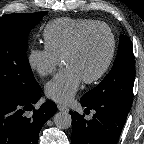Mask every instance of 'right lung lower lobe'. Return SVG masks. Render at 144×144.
<instances>
[{
  "label": "right lung lower lobe",
  "instance_id": "1",
  "mask_svg": "<svg viewBox=\"0 0 144 144\" xmlns=\"http://www.w3.org/2000/svg\"><path fill=\"white\" fill-rule=\"evenodd\" d=\"M40 97V86L25 95L0 96V144H38L42 126L56 113L52 101L33 108Z\"/></svg>",
  "mask_w": 144,
  "mask_h": 144
}]
</instances>
